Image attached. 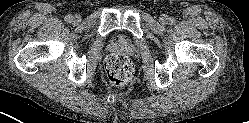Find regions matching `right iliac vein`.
<instances>
[{
  "label": "right iliac vein",
  "instance_id": "obj_1",
  "mask_svg": "<svg viewBox=\"0 0 249 123\" xmlns=\"http://www.w3.org/2000/svg\"><path fill=\"white\" fill-rule=\"evenodd\" d=\"M73 21H74L75 23H79V22L81 21V17H80L79 15H75V16L73 17Z\"/></svg>",
  "mask_w": 249,
  "mask_h": 123
}]
</instances>
